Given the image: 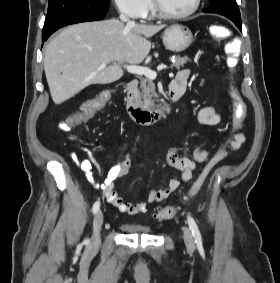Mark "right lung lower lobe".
Segmentation results:
<instances>
[{
    "instance_id": "98d812e1",
    "label": "right lung lower lobe",
    "mask_w": 280,
    "mask_h": 283,
    "mask_svg": "<svg viewBox=\"0 0 280 283\" xmlns=\"http://www.w3.org/2000/svg\"><path fill=\"white\" fill-rule=\"evenodd\" d=\"M105 16L106 15H61L47 19L45 20V24L43 27L42 42L46 41L48 37L59 28L75 23L102 20Z\"/></svg>"
}]
</instances>
